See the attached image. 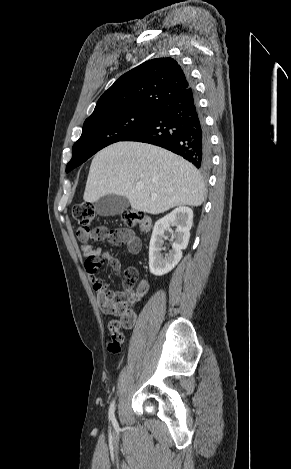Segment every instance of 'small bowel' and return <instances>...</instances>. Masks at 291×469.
I'll return each instance as SVG.
<instances>
[{"mask_svg":"<svg viewBox=\"0 0 291 469\" xmlns=\"http://www.w3.org/2000/svg\"><path fill=\"white\" fill-rule=\"evenodd\" d=\"M77 239L79 242V247L81 251V255L86 259L85 267L87 269V260L91 258H100L102 259L103 263L112 264L113 266L117 267L118 262L113 258L112 254L108 250H104L99 247H94L92 244L89 243V239L85 236L84 232L81 230L77 231ZM113 244H125L127 249L130 253L136 254L140 251L141 248V241L140 239L132 232L126 231L123 239L121 241H110ZM90 280L95 285L96 283H103L99 278L95 276V272H90L87 269ZM105 285V284H104ZM106 286V285H105ZM138 288L143 292V294L147 291L148 285L145 281H142ZM95 289V288H94ZM96 290L97 293V302L102 309L103 312L111 314V311L114 307V302L112 301V296L117 294L118 292H110L108 289L101 291Z\"/></svg>","mask_w":291,"mask_h":469,"instance_id":"c3829d8e","label":"small bowel"}]
</instances>
